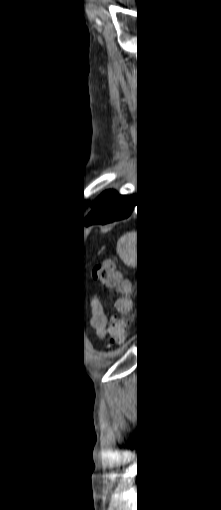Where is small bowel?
<instances>
[{
  "label": "small bowel",
  "mask_w": 221,
  "mask_h": 510,
  "mask_svg": "<svg viewBox=\"0 0 221 510\" xmlns=\"http://www.w3.org/2000/svg\"><path fill=\"white\" fill-rule=\"evenodd\" d=\"M92 307L94 308L93 326L98 335L103 336L106 333V316L101 307L100 299L96 296L92 299Z\"/></svg>",
  "instance_id": "c3829d8e"
}]
</instances>
